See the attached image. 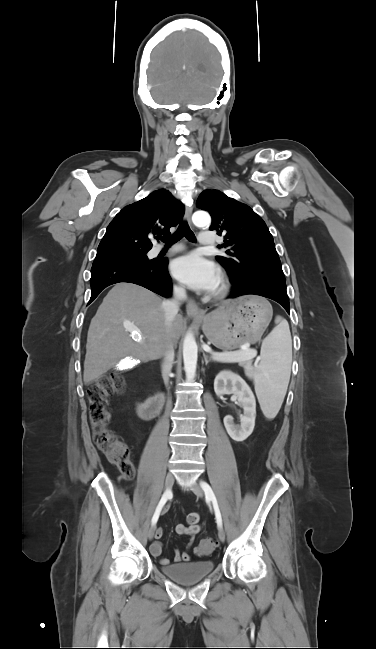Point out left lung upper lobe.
I'll return each mask as SVG.
<instances>
[{
    "label": "left lung upper lobe",
    "instance_id": "left-lung-upper-lobe-1",
    "mask_svg": "<svg viewBox=\"0 0 376 649\" xmlns=\"http://www.w3.org/2000/svg\"><path fill=\"white\" fill-rule=\"evenodd\" d=\"M197 207L210 213V230L224 236L221 247L228 248L226 256H216V259L235 284L251 274L286 284L273 237L262 218L249 206L219 190H205L198 198Z\"/></svg>",
    "mask_w": 376,
    "mask_h": 649
}]
</instances>
